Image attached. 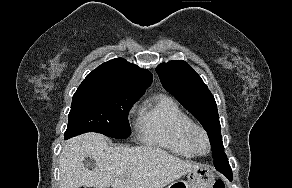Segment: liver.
<instances>
[{
	"label": "liver",
	"mask_w": 292,
	"mask_h": 188,
	"mask_svg": "<svg viewBox=\"0 0 292 188\" xmlns=\"http://www.w3.org/2000/svg\"><path fill=\"white\" fill-rule=\"evenodd\" d=\"M86 157L95 161L92 169L84 164ZM59 162L60 188H163L200 167L158 147H110L96 133L68 140ZM119 171L123 174L117 175Z\"/></svg>",
	"instance_id": "1"
}]
</instances>
